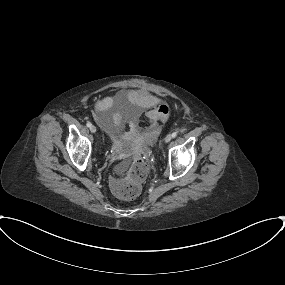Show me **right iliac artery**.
I'll use <instances>...</instances> for the list:
<instances>
[{
    "instance_id": "82829eb1",
    "label": "right iliac artery",
    "mask_w": 285,
    "mask_h": 285,
    "mask_svg": "<svg viewBox=\"0 0 285 285\" xmlns=\"http://www.w3.org/2000/svg\"><path fill=\"white\" fill-rule=\"evenodd\" d=\"M86 125H87V127L90 128V126H91L92 124H91L90 122H87Z\"/></svg>"
}]
</instances>
